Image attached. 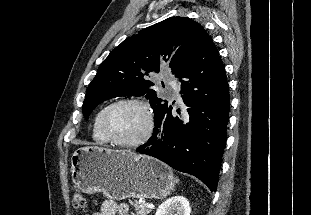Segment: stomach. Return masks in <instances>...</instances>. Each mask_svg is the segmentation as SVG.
<instances>
[{
  "instance_id": "stomach-1",
  "label": "stomach",
  "mask_w": 311,
  "mask_h": 215,
  "mask_svg": "<svg viewBox=\"0 0 311 215\" xmlns=\"http://www.w3.org/2000/svg\"><path fill=\"white\" fill-rule=\"evenodd\" d=\"M74 184L84 193L105 196L162 199L175 186L171 169L145 155L98 146L77 149L71 156Z\"/></svg>"
}]
</instances>
